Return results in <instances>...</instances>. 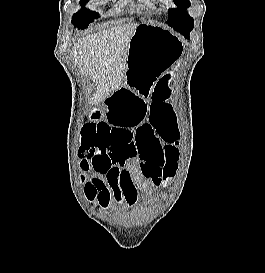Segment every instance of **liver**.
I'll return each instance as SVG.
<instances>
[{"mask_svg":"<svg viewBox=\"0 0 265 273\" xmlns=\"http://www.w3.org/2000/svg\"><path fill=\"white\" fill-rule=\"evenodd\" d=\"M137 24L128 23L88 35L74 45L72 54L97 86L91 101L111 96L126 78L128 47Z\"/></svg>","mask_w":265,"mask_h":273,"instance_id":"liver-1","label":"liver"}]
</instances>
